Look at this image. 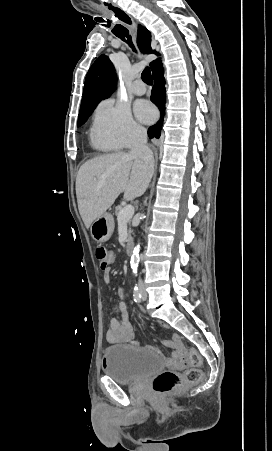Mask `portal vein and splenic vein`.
Here are the masks:
<instances>
[{"instance_id":"1","label":"portal vein and splenic vein","mask_w":272,"mask_h":451,"mask_svg":"<svg viewBox=\"0 0 272 451\" xmlns=\"http://www.w3.org/2000/svg\"><path fill=\"white\" fill-rule=\"evenodd\" d=\"M133 214H134L133 206H131V204H129V206H125L123 210H120L117 216L118 224H127V222L131 220Z\"/></svg>"}]
</instances>
